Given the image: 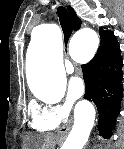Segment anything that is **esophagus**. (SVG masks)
<instances>
[{"instance_id":"esophagus-1","label":"esophagus","mask_w":124,"mask_h":149,"mask_svg":"<svg viewBox=\"0 0 124 149\" xmlns=\"http://www.w3.org/2000/svg\"><path fill=\"white\" fill-rule=\"evenodd\" d=\"M70 127H71V124L69 123L66 127H63L59 133L62 135V134H66L68 133V131L70 130Z\"/></svg>"}]
</instances>
